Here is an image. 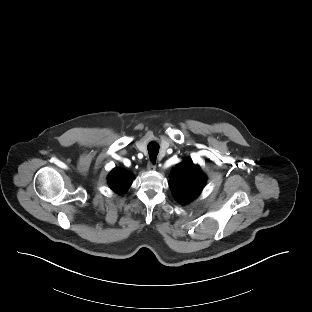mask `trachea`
<instances>
[{"mask_svg": "<svg viewBox=\"0 0 312 312\" xmlns=\"http://www.w3.org/2000/svg\"><path fill=\"white\" fill-rule=\"evenodd\" d=\"M147 149H148V153H149V157L151 159V162L153 164H155L156 158H157V155L159 152V144L155 141H152L148 144Z\"/></svg>", "mask_w": 312, "mask_h": 312, "instance_id": "3493384b", "label": "trachea"}]
</instances>
